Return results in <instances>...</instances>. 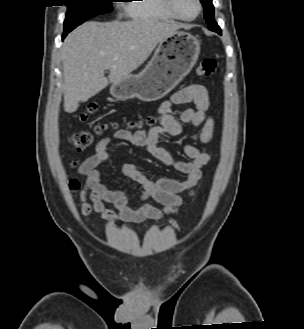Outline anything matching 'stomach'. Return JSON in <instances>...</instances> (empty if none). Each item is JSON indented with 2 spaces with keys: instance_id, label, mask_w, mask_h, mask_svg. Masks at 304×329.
<instances>
[{
  "instance_id": "stomach-1",
  "label": "stomach",
  "mask_w": 304,
  "mask_h": 329,
  "mask_svg": "<svg viewBox=\"0 0 304 329\" xmlns=\"http://www.w3.org/2000/svg\"><path fill=\"white\" fill-rule=\"evenodd\" d=\"M200 54L193 35L176 31L163 39L143 71L113 83L110 93L119 100L138 98L157 101L167 95L190 72Z\"/></svg>"
}]
</instances>
